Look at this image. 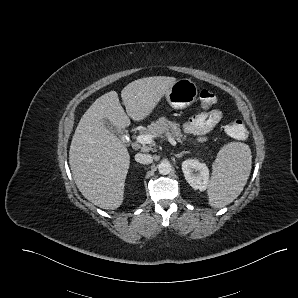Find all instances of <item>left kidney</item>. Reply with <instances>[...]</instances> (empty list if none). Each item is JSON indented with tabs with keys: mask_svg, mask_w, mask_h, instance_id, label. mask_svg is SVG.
I'll return each instance as SVG.
<instances>
[{
	"mask_svg": "<svg viewBox=\"0 0 298 298\" xmlns=\"http://www.w3.org/2000/svg\"><path fill=\"white\" fill-rule=\"evenodd\" d=\"M185 180L195 190L205 191L209 181V168L198 159H187L182 162Z\"/></svg>",
	"mask_w": 298,
	"mask_h": 298,
	"instance_id": "5707ae66",
	"label": "left kidney"
}]
</instances>
